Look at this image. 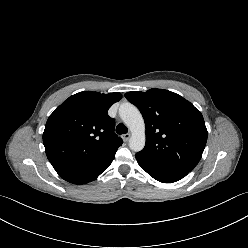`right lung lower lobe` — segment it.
<instances>
[{"label": "right lung lower lobe", "mask_w": 248, "mask_h": 248, "mask_svg": "<svg viewBox=\"0 0 248 248\" xmlns=\"http://www.w3.org/2000/svg\"><path fill=\"white\" fill-rule=\"evenodd\" d=\"M117 150L87 163H54L52 166L64 180L85 184L95 180L113 161Z\"/></svg>", "instance_id": "right-lung-lower-lobe-1"}]
</instances>
